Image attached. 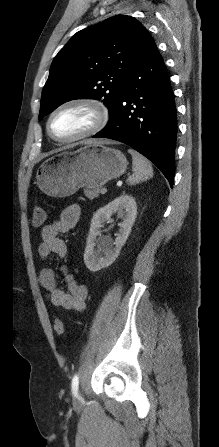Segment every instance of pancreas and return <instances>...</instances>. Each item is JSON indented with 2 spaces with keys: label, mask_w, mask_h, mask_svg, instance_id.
Returning a JSON list of instances; mask_svg holds the SVG:
<instances>
[{
  "label": "pancreas",
  "mask_w": 219,
  "mask_h": 447,
  "mask_svg": "<svg viewBox=\"0 0 219 447\" xmlns=\"http://www.w3.org/2000/svg\"><path fill=\"white\" fill-rule=\"evenodd\" d=\"M100 193H101V190H100L99 187L84 189V194L89 199H93V198L98 197Z\"/></svg>",
  "instance_id": "1"
}]
</instances>
